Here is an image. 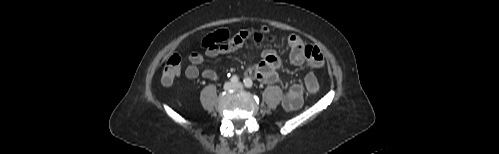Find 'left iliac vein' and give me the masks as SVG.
I'll return each mask as SVG.
<instances>
[{"instance_id": "1", "label": "left iliac vein", "mask_w": 499, "mask_h": 154, "mask_svg": "<svg viewBox=\"0 0 499 154\" xmlns=\"http://www.w3.org/2000/svg\"><path fill=\"white\" fill-rule=\"evenodd\" d=\"M235 87L241 89L243 87L242 83L238 82L235 84Z\"/></svg>"}]
</instances>
